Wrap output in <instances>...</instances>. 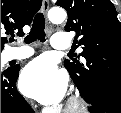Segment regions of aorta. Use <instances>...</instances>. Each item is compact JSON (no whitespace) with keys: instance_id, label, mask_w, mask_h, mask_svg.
<instances>
[{"instance_id":"obj_1","label":"aorta","mask_w":121,"mask_h":113,"mask_svg":"<svg viewBox=\"0 0 121 113\" xmlns=\"http://www.w3.org/2000/svg\"><path fill=\"white\" fill-rule=\"evenodd\" d=\"M48 17L50 21L53 23H61L66 19L67 14L65 10L62 8H52L48 12Z\"/></svg>"}]
</instances>
